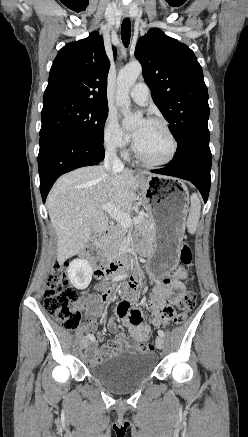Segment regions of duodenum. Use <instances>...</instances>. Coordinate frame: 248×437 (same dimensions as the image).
<instances>
[{"label": "duodenum", "mask_w": 248, "mask_h": 437, "mask_svg": "<svg viewBox=\"0 0 248 437\" xmlns=\"http://www.w3.org/2000/svg\"><path fill=\"white\" fill-rule=\"evenodd\" d=\"M111 226L107 225L104 228L103 236L110 233ZM103 238H99L90 248L87 257L96 265L95 275L98 277L110 276L119 272L126 264L127 258L107 259L104 256L102 249ZM102 263L100 266L99 264Z\"/></svg>", "instance_id": "1"}]
</instances>
